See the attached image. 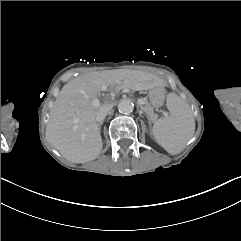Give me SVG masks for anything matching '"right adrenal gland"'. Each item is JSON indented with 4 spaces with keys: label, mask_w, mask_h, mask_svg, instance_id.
<instances>
[{
    "label": "right adrenal gland",
    "mask_w": 241,
    "mask_h": 241,
    "mask_svg": "<svg viewBox=\"0 0 241 241\" xmlns=\"http://www.w3.org/2000/svg\"><path fill=\"white\" fill-rule=\"evenodd\" d=\"M103 123H99L98 124V128H99V130L101 131V125H102Z\"/></svg>",
    "instance_id": "2a0ac1e0"
}]
</instances>
